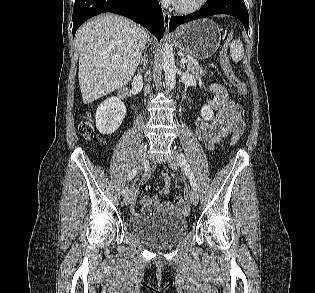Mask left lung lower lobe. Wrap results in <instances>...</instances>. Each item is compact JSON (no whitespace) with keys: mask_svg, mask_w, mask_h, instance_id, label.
<instances>
[{"mask_svg":"<svg viewBox=\"0 0 315 293\" xmlns=\"http://www.w3.org/2000/svg\"><path fill=\"white\" fill-rule=\"evenodd\" d=\"M215 14H228L238 18L248 33L249 17L244 0H207L206 4L198 11L186 16H172L169 22V31L180 24L208 17Z\"/></svg>","mask_w":315,"mask_h":293,"instance_id":"left-lung-lower-lobe-1","label":"left lung lower lobe"}]
</instances>
